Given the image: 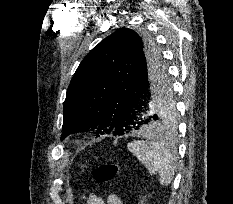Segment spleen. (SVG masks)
<instances>
[{"mask_svg": "<svg viewBox=\"0 0 233 204\" xmlns=\"http://www.w3.org/2000/svg\"><path fill=\"white\" fill-rule=\"evenodd\" d=\"M127 148L148 170L158 173L160 185L168 186L172 182L176 169L172 151L158 142L143 140L130 142Z\"/></svg>", "mask_w": 233, "mask_h": 204, "instance_id": "spleen-1", "label": "spleen"}]
</instances>
